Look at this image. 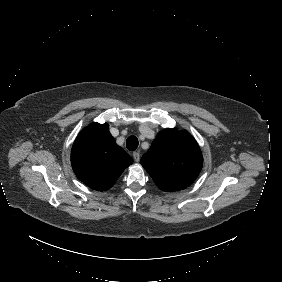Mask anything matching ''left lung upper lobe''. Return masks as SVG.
Wrapping results in <instances>:
<instances>
[{
    "label": "left lung upper lobe",
    "mask_w": 282,
    "mask_h": 282,
    "mask_svg": "<svg viewBox=\"0 0 282 282\" xmlns=\"http://www.w3.org/2000/svg\"><path fill=\"white\" fill-rule=\"evenodd\" d=\"M141 164L159 189L173 192L185 189L197 178L203 157L187 131L164 129L141 158Z\"/></svg>",
    "instance_id": "left-lung-upper-lobe-1"
}]
</instances>
